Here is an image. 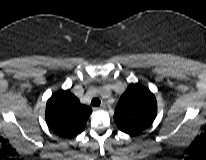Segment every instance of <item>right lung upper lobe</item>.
I'll use <instances>...</instances> for the list:
<instances>
[{
	"label": "right lung upper lobe",
	"mask_w": 206,
	"mask_h": 160,
	"mask_svg": "<svg viewBox=\"0 0 206 160\" xmlns=\"http://www.w3.org/2000/svg\"><path fill=\"white\" fill-rule=\"evenodd\" d=\"M91 112L70 90H60L47 101L45 118L54 133L72 138L84 130Z\"/></svg>",
	"instance_id": "obj_1"
}]
</instances>
